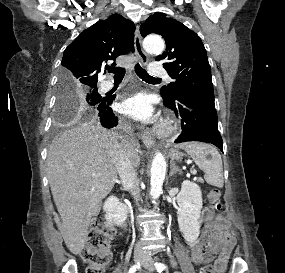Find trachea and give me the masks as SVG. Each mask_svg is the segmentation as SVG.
I'll return each instance as SVG.
<instances>
[{
    "mask_svg": "<svg viewBox=\"0 0 285 273\" xmlns=\"http://www.w3.org/2000/svg\"><path fill=\"white\" fill-rule=\"evenodd\" d=\"M107 70L114 74V79H123L125 75V68L123 67H109ZM135 72L142 80L160 81V79L150 76L139 64L135 65Z\"/></svg>",
    "mask_w": 285,
    "mask_h": 273,
    "instance_id": "1",
    "label": "trachea"
}]
</instances>
